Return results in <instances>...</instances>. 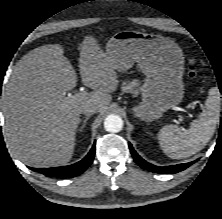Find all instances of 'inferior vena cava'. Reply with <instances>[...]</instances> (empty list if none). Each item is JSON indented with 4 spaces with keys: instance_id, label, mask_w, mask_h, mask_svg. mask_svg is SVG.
Listing matches in <instances>:
<instances>
[{
    "instance_id": "inferior-vena-cava-1",
    "label": "inferior vena cava",
    "mask_w": 222,
    "mask_h": 219,
    "mask_svg": "<svg viewBox=\"0 0 222 219\" xmlns=\"http://www.w3.org/2000/svg\"><path fill=\"white\" fill-rule=\"evenodd\" d=\"M99 111V106L98 105H88L86 107L83 108V113L88 115V114H91V113H96Z\"/></svg>"
}]
</instances>
